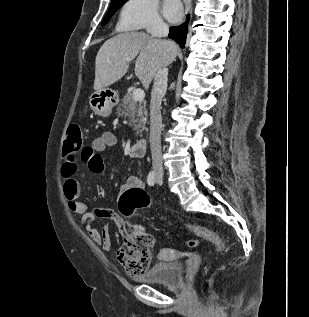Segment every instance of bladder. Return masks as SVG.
Wrapping results in <instances>:
<instances>
[{"label": "bladder", "mask_w": 309, "mask_h": 317, "mask_svg": "<svg viewBox=\"0 0 309 317\" xmlns=\"http://www.w3.org/2000/svg\"><path fill=\"white\" fill-rule=\"evenodd\" d=\"M136 281L147 284H160L168 288L179 287L183 282L181 261H159L146 272L138 275Z\"/></svg>", "instance_id": "bladder-1"}]
</instances>
